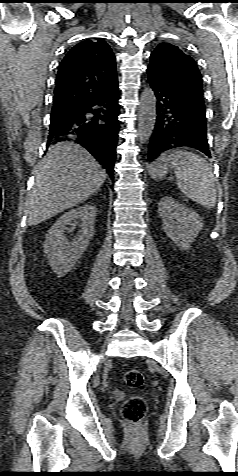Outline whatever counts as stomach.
<instances>
[{
  "mask_svg": "<svg viewBox=\"0 0 238 476\" xmlns=\"http://www.w3.org/2000/svg\"><path fill=\"white\" fill-rule=\"evenodd\" d=\"M171 166L169 155L163 154L149 168V174L154 179H162L166 176Z\"/></svg>",
  "mask_w": 238,
  "mask_h": 476,
  "instance_id": "0dacf381",
  "label": "stomach"
}]
</instances>
